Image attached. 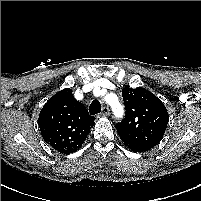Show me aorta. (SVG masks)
<instances>
[{
  "mask_svg": "<svg viewBox=\"0 0 201 201\" xmlns=\"http://www.w3.org/2000/svg\"><path fill=\"white\" fill-rule=\"evenodd\" d=\"M106 101L109 103V105L112 108V111L114 115L117 118H121L124 115V107L123 105L117 100L113 99L110 95L106 98Z\"/></svg>",
  "mask_w": 201,
  "mask_h": 201,
  "instance_id": "obj_1",
  "label": "aorta"
}]
</instances>
